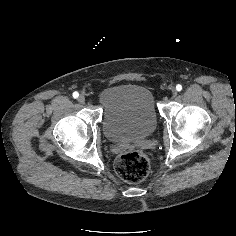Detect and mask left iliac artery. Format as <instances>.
Returning a JSON list of instances; mask_svg holds the SVG:
<instances>
[{
    "label": "left iliac artery",
    "mask_w": 236,
    "mask_h": 236,
    "mask_svg": "<svg viewBox=\"0 0 236 236\" xmlns=\"http://www.w3.org/2000/svg\"><path fill=\"white\" fill-rule=\"evenodd\" d=\"M176 90H177V91H181V90H182V85L178 84V85L176 86Z\"/></svg>",
    "instance_id": "obj_1"
}]
</instances>
